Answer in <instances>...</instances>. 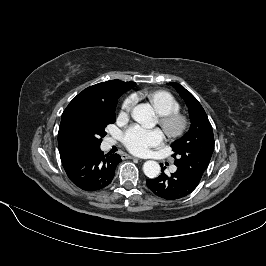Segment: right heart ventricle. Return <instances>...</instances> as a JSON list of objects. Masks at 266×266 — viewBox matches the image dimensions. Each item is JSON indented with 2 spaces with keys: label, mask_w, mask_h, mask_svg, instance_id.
I'll list each match as a JSON object with an SVG mask.
<instances>
[{
  "label": "right heart ventricle",
  "mask_w": 266,
  "mask_h": 266,
  "mask_svg": "<svg viewBox=\"0 0 266 266\" xmlns=\"http://www.w3.org/2000/svg\"><path fill=\"white\" fill-rule=\"evenodd\" d=\"M148 98L161 116L178 112L180 109L177 99L167 91L151 92Z\"/></svg>",
  "instance_id": "right-heart-ventricle-1"
}]
</instances>
